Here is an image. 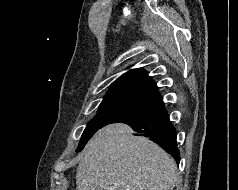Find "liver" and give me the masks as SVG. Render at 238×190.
Instances as JSON below:
<instances>
[{
  "instance_id": "1",
  "label": "liver",
  "mask_w": 238,
  "mask_h": 190,
  "mask_svg": "<svg viewBox=\"0 0 238 190\" xmlns=\"http://www.w3.org/2000/svg\"><path fill=\"white\" fill-rule=\"evenodd\" d=\"M175 161L126 124L100 129L88 142L76 173L77 190H173Z\"/></svg>"
}]
</instances>
